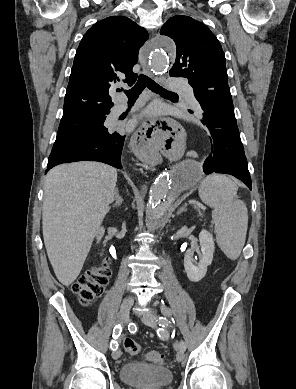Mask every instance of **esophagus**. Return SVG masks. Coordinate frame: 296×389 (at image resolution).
<instances>
[{
	"label": "esophagus",
	"instance_id": "34e87169",
	"mask_svg": "<svg viewBox=\"0 0 296 389\" xmlns=\"http://www.w3.org/2000/svg\"><path fill=\"white\" fill-rule=\"evenodd\" d=\"M139 62L144 74L152 76V72L147 63L143 49L139 53ZM184 126L182 118L174 121H157L153 114L147 122H141L135 129V135L132 136L131 144L136 156L142 163H149L155 168L162 164V153L156 150L157 139H172L177 131H182Z\"/></svg>",
	"mask_w": 296,
	"mask_h": 389
}]
</instances>
